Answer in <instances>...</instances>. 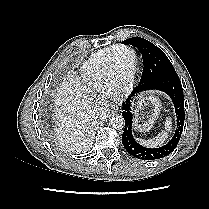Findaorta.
<instances>
[{
    "mask_svg": "<svg viewBox=\"0 0 209 209\" xmlns=\"http://www.w3.org/2000/svg\"><path fill=\"white\" fill-rule=\"evenodd\" d=\"M109 124L114 128V129H122L125 124V120L122 115L120 114H115L112 115L109 119Z\"/></svg>",
    "mask_w": 209,
    "mask_h": 209,
    "instance_id": "1",
    "label": "aorta"
}]
</instances>
